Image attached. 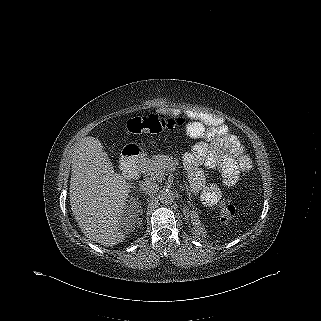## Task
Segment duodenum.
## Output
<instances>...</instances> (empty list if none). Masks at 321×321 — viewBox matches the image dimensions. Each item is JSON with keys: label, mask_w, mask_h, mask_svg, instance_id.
Instances as JSON below:
<instances>
[{"label": "duodenum", "mask_w": 321, "mask_h": 321, "mask_svg": "<svg viewBox=\"0 0 321 321\" xmlns=\"http://www.w3.org/2000/svg\"><path fill=\"white\" fill-rule=\"evenodd\" d=\"M136 159V156L128 154L123 155L120 162V168L124 171H130L132 169V166L130 165L131 161H134Z\"/></svg>", "instance_id": "duodenum-1"}]
</instances>
